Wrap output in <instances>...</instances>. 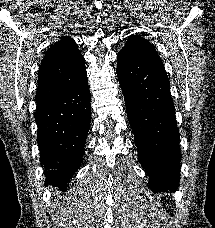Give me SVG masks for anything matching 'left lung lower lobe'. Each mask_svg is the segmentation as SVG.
Listing matches in <instances>:
<instances>
[{
	"instance_id": "obj_1",
	"label": "left lung lower lobe",
	"mask_w": 215,
	"mask_h": 228,
	"mask_svg": "<svg viewBox=\"0 0 215 228\" xmlns=\"http://www.w3.org/2000/svg\"><path fill=\"white\" fill-rule=\"evenodd\" d=\"M117 75L124 94L138 160L153 192H174L179 186V129L170 83L159 56L136 57L119 52Z\"/></svg>"
}]
</instances>
